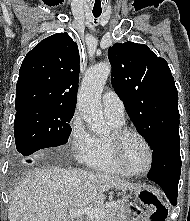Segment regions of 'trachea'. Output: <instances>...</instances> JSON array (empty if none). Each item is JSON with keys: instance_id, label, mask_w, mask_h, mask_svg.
<instances>
[{"instance_id": "3493384b", "label": "trachea", "mask_w": 190, "mask_h": 221, "mask_svg": "<svg viewBox=\"0 0 190 221\" xmlns=\"http://www.w3.org/2000/svg\"><path fill=\"white\" fill-rule=\"evenodd\" d=\"M102 13V10H93V15L95 18H98Z\"/></svg>"}]
</instances>
